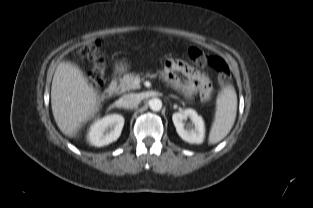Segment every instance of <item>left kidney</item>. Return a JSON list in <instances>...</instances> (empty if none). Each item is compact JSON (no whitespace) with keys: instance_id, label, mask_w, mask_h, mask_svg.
Segmentation results:
<instances>
[{"instance_id":"5707ae66","label":"left kidney","mask_w":313,"mask_h":208,"mask_svg":"<svg viewBox=\"0 0 313 208\" xmlns=\"http://www.w3.org/2000/svg\"><path fill=\"white\" fill-rule=\"evenodd\" d=\"M190 118L191 124L185 126V121ZM172 120L178 135L191 144H201L205 138V126L201 116L194 109H185L174 113Z\"/></svg>"}]
</instances>
